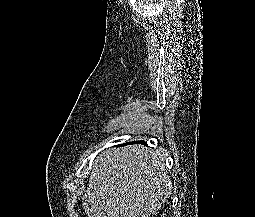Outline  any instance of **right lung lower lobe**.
Returning a JSON list of instances; mask_svg holds the SVG:
<instances>
[{"label":"right lung lower lobe","mask_w":255,"mask_h":217,"mask_svg":"<svg viewBox=\"0 0 255 217\" xmlns=\"http://www.w3.org/2000/svg\"><path fill=\"white\" fill-rule=\"evenodd\" d=\"M133 143H136V142H129V143H126V144H133ZM138 143H140V144H146L144 141H138ZM126 144H124V145H126Z\"/></svg>","instance_id":"obj_1"}]
</instances>
